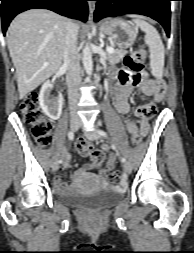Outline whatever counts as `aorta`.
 <instances>
[{
	"label": "aorta",
	"instance_id": "obj_1",
	"mask_svg": "<svg viewBox=\"0 0 194 253\" xmlns=\"http://www.w3.org/2000/svg\"><path fill=\"white\" fill-rule=\"evenodd\" d=\"M82 62H83V66L87 75L89 76L92 75V71H93L92 53L88 45L85 46V48L83 49Z\"/></svg>",
	"mask_w": 194,
	"mask_h": 253
}]
</instances>
